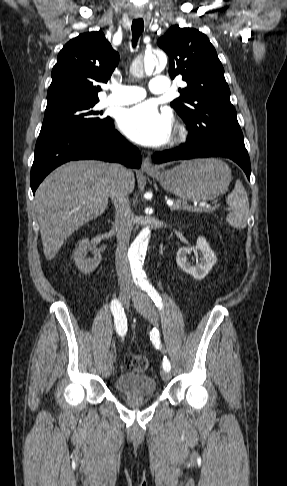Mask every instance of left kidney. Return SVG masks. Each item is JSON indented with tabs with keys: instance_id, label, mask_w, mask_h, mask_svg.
<instances>
[{
	"instance_id": "5707ae66",
	"label": "left kidney",
	"mask_w": 287,
	"mask_h": 486,
	"mask_svg": "<svg viewBox=\"0 0 287 486\" xmlns=\"http://www.w3.org/2000/svg\"><path fill=\"white\" fill-rule=\"evenodd\" d=\"M194 252L196 258L199 257V263L194 266L188 258V255ZM176 261L178 266L187 274L191 275L197 280L204 279L212 267L217 262L215 253L210 248L204 237L197 238L196 247H182L177 252Z\"/></svg>"
}]
</instances>
